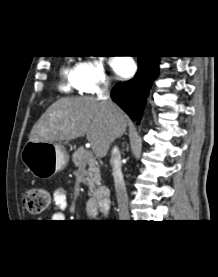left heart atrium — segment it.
<instances>
[{
	"mask_svg": "<svg viewBox=\"0 0 218 277\" xmlns=\"http://www.w3.org/2000/svg\"><path fill=\"white\" fill-rule=\"evenodd\" d=\"M131 66V61L126 58L115 57L111 59V67L119 76L126 75L130 71Z\"/></svg>",
	"mask_w": 218,
	"mask_h": 277,
	"instance_id": "left-heart-atrium-1",
	"label": "left heart atrium"
}]
</instances>
